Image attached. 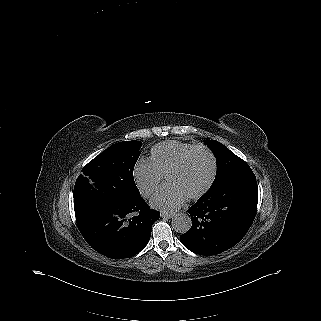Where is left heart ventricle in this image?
<instances>
[{
    "mask_svg": "<svg viewBox=\"0 0 321 321\" xmlns=\"http://www.w3.org/2000/svg\"><path fill=\"white\" fill-rule=\"evenodd\" d=\"M212 163L205 152H198L191 160L189 168L184 170L174 183L184 191H193L202 186L209 178Z\"/></svg>",
    "mask_w": 321,
    "mask_h": 321,
    "instance_id": "1",
    "label": "left heart ventricle"
}]
</instances>
